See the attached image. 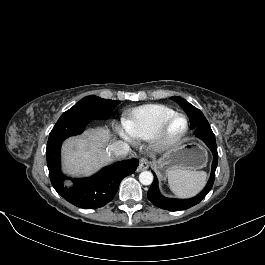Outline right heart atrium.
<instances>
[{
  "label": "right heart atrium",
  "instance_id": "obj_1",
  "mask_svg": "<svg viewBox=\"0 0 265 265\" xmlns=\"http://www.w3.org/2000/svg\"><path fill=\"white\" fill-rule=\"evenodd\" d=\"M115 130L118 133V135H120L125 140L129 141L131 139V136L129 132L127 131V129L125 128L124 124H116Z\"/></svg>",
  "mask_w": 265,
  "mask_h": 265
}]
</instances>
